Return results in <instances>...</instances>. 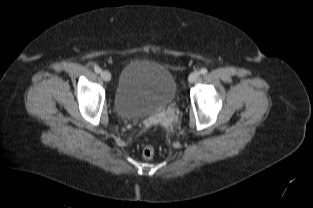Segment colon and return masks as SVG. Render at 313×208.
<instances>
[{"label": "colon", "instance_id": "1", "mask_svg": "<svg viewBox=\"0 0 313 208\" xmlns=\"http://www.w3.org/2000/svg\"><path fill=\"white\" fill-rule=\"evenodd\" d=\"M141 154L144 159H152L155 155V148L151 145H146L142 148Z\"/></svg>", "mask_w": 313, "mask_h": 208}]
</instances>
